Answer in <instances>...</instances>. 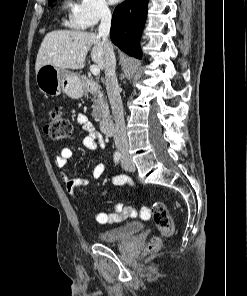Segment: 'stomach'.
Returning <instances> with one entry per match:
<instances>
[{
    "label": "stomach",
    "instance_id": "stomach-1",
    "mask_svg": "<svg viewBox=\"0 0 247 296\" xmlns=\"http://www.w3.org/2000/svg\"><path fill=\"white\" fill-rule=\"evenodd\" d=\"M36 84L42 93L51 97L58 96L63 91L69 97L78 99L84 93L77 75L50 64L43 65L36 72Z\"/></svg>",
    "mask_w": 247,
    "mask_h": 296
}]
</instances>
